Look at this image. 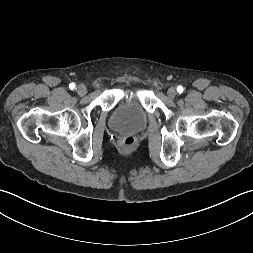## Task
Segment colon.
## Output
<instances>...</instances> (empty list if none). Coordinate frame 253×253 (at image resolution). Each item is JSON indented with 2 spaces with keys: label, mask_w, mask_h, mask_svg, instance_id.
<instances>
[{
  "label": "colon",
  "mask_w": 253,
  "mask_h": 253,
  "mask_svg": "<svg viewBox=\"0 0 253 253\" xmlns=\"http://www.w3.org/2000/svg\"><path fill=\"white\" fill-rule=\"evenodd\" d=\"M134 143H135L134 138L128 136V137H125V138H123V139L121 140L120 145H121V147H122L123 149L128 150V149H131V148L133 147Z\"/></svg>",
  "instance_id": "1"
}]
</instances>
